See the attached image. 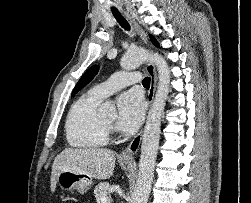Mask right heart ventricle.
<instances>
[{"mask_svg":"<svg viewBox=\"0 0 251 203\" xmlns=\"http://www.w3.org/2000/svg\"><path fill=\"white\" fill-rule=\"evenodd\" d=\"M101 101L86 93L71 106L66 119V136L71 146L97 149L108 143V130L97 113Z\"/></svg>","mask_w":251,"mask_h":203,"instance_id":"1","label":"right heart ventricle"}]
</instances>
